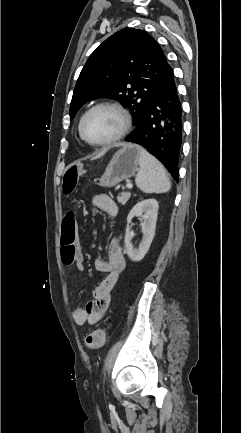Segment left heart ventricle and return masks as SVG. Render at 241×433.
<instances>
[{"mask_svg": "<svg viewBox=\"0 0 241 433\" xmlns=\"http://www.w3.org/2000/svg\"><path fill=\"white\" fill-rule=\"evenodd\" d=\"M121 127L120 116L111 109H98L85 120L83 133L91 142L104 141L115 135Z\"/></svg>", "mask_w": 241, "mask_h": 433, "instance_id": "left-heart-ventricle-1", "label": "left heart ventricle"}]
</instances>
